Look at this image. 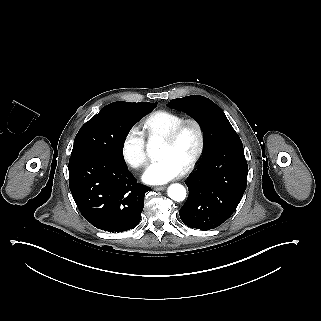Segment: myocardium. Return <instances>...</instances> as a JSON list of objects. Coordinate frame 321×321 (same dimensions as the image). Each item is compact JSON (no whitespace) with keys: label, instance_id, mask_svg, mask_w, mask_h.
I'll return each mask as SVG.
<instances>
[{"label":"myocardium","instance_id":"f54148a6","mask_svg":"<svg viewBox=\"0 0 321 321\" xmlns=\"http://www.w3.org/2000/svg\"><path fill=\"white\" fill-rule=\"evenodd\" d=\"M187 125L195 126L198 133V145L194 155L192 156L188 164L183 169V173L191 172L200 162L204 154L206 138H205V130L202 123L196 118H185L184 120L179 122L177 125H175L168 133L161 136L163 140L167 141L170 144H174L177 142L182 131Z\"/></svg>","mask_w":321,"mask_h":321}]
</instances>
